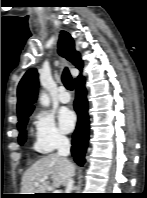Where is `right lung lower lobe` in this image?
I'll return each instance as SVG.
<instances>
[{
	"label": "right lung lower lobe",
	"mask_w": 147,
	"mask_h": 198,
	"mask_svg": "<svg viewBox=\"0 0 147 198\" xmlns=\"http://www.w3.org/2000/svg\"><path fill=\"white\" fill-rule=\"evenodd\" d=\"M76 99L74 108L78 114V123L73 134L71 153L75 162L79 166L85 163V153L88 145L89 119H88V103L86 99V89L84 86V78L79 76L75 79Z\"/></svg>",
	"instance_id": "1"
}]
</instances>
